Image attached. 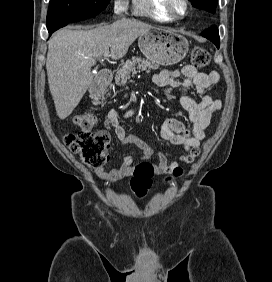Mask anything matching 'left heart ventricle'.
<instances>
[{
    "label": "left heart ventricle",
    "mask_w": 272,
    "mask_h": 282,
    "mask_svg": "<svg viewBox=\"0 0 272 282\" xmlns=\"http://www.w3.org/2000/svg\"><path fill=\"white\" fill-rule=\"evenodd\" d=\"M177 8H178L179 10H181V9H182V6H181L180 4H178V5H177Z\"/></svg>",
    "instance_id": "1"
}]
</instances>
